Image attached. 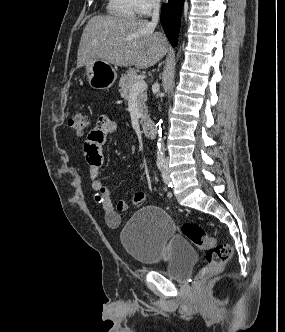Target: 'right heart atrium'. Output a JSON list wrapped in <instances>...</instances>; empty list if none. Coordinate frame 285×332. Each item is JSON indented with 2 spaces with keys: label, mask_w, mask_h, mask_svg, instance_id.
I'll list each match as a JSON object with an SVG mask.
<instances>
[{
  "label": "right heart atrium",
  "mask_w": 285,
  "mask_h": 332,
  "mask_svg": "<svg viewBox=\"0 0 285 332\" xmlns=\"http://www.w3.org/2000/svg\"><path fill=\"white\" fill-rule=\"evenodd\" d=\"M160 0H134L135 10L139 15H147L158 8Z\"/></svg>",
  "instance_id": "obj_1"
}]
</instances>
